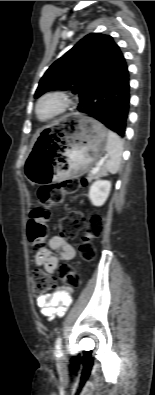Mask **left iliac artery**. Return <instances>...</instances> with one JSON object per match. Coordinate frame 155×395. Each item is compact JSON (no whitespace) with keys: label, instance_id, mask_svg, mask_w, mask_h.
I'll list each match as a JSON object with an SVG mask.
<instances>
[{"label":"left iliac artery","instance_id":"obj_1","mask_svg":"<svg viewBox=\"0 0 155 395\" xmlns=\"http://www.w3.org/2000/svg\"><path fill=\"white\" fill-rule=\"evenodd\" d=\"M61 343H62V338L58 337L55 343V348H56V354L59 357L61 355L60 349H61Z\"/></svg>","mask_w":155,"mask_h":395}]
</instances>
